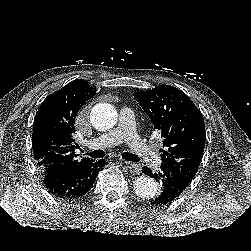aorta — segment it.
<instances>
[{"instance_id": "obj_1", "label": "aorta", "mask_w": 251, "mask_h": 251, "mask_svg": "<svg viewBox=\"0 0 251 251\" xmlns=\"http://www.w3.org/2000/svg\"><path fill=\"white\" fill-rule=\"evenodd\" d=\"M92 125L99 130H107L115 126L118 121V113L114 106L108 103H99L94 106L90 114ZM135 193L145 199L158 195L159 185L155 179L144 175L134 181Z\"/></svg>"}]
</instances>
